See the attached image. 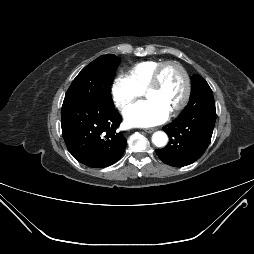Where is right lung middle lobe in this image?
<instances>
[{
    "label": "right lung middle lobe",
    "instance_id": "1",
    "mask_svg": "<svg viewBox=\"0 0 254 254\" xmlns=\"http://www.w3.org/2000/svg\"><path fill=\"white\" fill-rule=\"evenodd\" d=\"M120 59L112 54L102 55L87 65L74 79L65 99H74L100 107L113 106L110 84Z\"/></svg>",
    "mask_w": 254,
    "mask_h": 254
}]
</instances>
